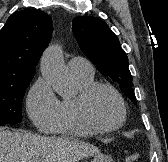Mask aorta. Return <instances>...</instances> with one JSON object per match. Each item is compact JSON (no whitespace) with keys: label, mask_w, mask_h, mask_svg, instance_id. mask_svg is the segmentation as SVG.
Listing matches in <instances>:
<instances>
[{"label":"aorta","mask_w":168,"mask_h":162,"mask_svg":"<svg viewBox=\"0 0 168 162\" xmlns=\"http://www.w3.org/2000/svg\"><path fill=\"white\" fill-rule=\"evenodd\" d=\"M41 73L53 89L63 98L73 93L68 69L63 62L62 50L57 45L49 46L41 58Z\"/></svg>","instance_id":"1"}]
</instances>
